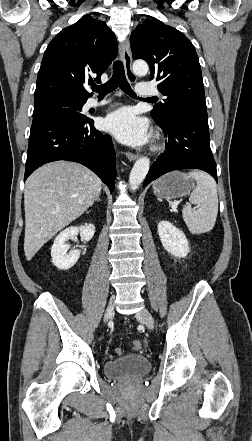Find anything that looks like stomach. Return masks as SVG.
Masks as SVG:
<instances>
[{
  "label": "stomach",
  "mask_w": 252,
  "mask_h": 441,
  "mask_svg": "<svg viewBox=\"0 0 252 441\" xmlns=\"http://www.w3.org/2000/svg\"><path fill=\"white\" fill-rule=\"evenodd\" d=\"M195 188L194 180L183 173L167 174L153 184L154 194L159 198L174 199L190 193Z\"/></svg>",
  "instance_id": "obj_1"
}]
</instances>
